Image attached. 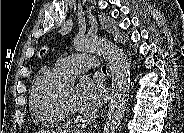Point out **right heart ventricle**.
Instances as JSON below:
<instances>
[{
  "label": "right heart ventricle",
  "instance_id": "right-heart-ventricle-1",
  "mask_svg": "<svg viewBox=\"0 0 184 133\" xmlns=\"http://www.w3.org/2000/svg\"><path fill=\"white\" fill-rule=\"evenodd\" d=\"M62 74L56 67L45 69L36 77L30 103L35 116L46 125H58L64 120L59 107V80Z\"/></svg>",
  "mask_w": 184,
  "mask_h": 133
}]
</instances>
